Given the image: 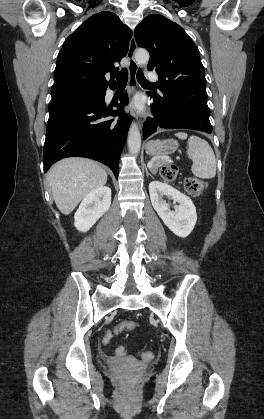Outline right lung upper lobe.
Wrapping results in <instances>:
<instances>
[{
    "mask_svg": "<svg viewBox=\"0 0 264 419\" xmlns=\"http://www.w3.org/2000/svg\"><path fill=\"white\" fill-rule=\"evenodd\" d=\"M131 36V30L112 12H100L83 22L58 54L52 97L114 87L115 64L126 56ZM107 73H112L109 82Z\"/></svg>",
    "mask_w": 264,
    "mask_h": 419,
    "instance_id": "obj_1",
    "label": "right lung upper lobe"
}]
</instances>
